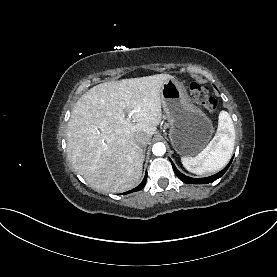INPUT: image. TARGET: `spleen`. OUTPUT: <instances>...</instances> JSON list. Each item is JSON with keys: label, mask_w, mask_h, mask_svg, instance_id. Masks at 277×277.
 <instances>
[{"label": "spleen", "mask_w": 277, "mask_h": 277, "mask_svg": "<svg viewBox=\"0 0 277 277\" xmlns=\"http://www.w3.org/2000/svg\"><path fill=\"white\" fill-rule=\"evenodd\" d=\"M235 143L233 121L226 111L219 113L218 128L214 138L196 157H182L186 170L195 174H211L222 169L230 160Z\"/></svg>", "instance_id": "obj_1"}]
</instances>
